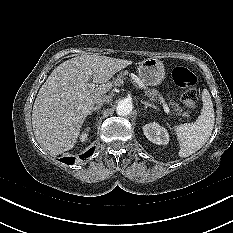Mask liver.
<instances>
[{
	"label": "liver",
	"instance_id": "6515ba94",
	"mask_svg": "<svg viewBox=\"0 0 233 233\" xmlns=\"http://www.w3.org/2000/svg\"><path fill=\"white\" fill-rule=\"evenodd\" d=\"M132 61L82 55L57 66L41 86L32 110L36 140L51 154L74 147L82 125L96 101L108 93L109 80ZM92 71V75L88 71ZM100 84L89 87V80Z\"/></svg>",
	"mask_w": 233,
	"mask_h": 233
}]
</instances>
